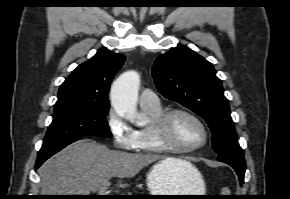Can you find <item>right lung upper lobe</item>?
I'll return each mask as SVG.
<instances>
[{"label": "right lung upper lobe", "mask_w": 290, "mask_h": 199, "mask_svg": "<svg viewBox=\"0 0 290 199\" xmlns=\"http://www.w3.org/2000/svg\"><path fill=\"white\" fill-rule=\"evenodd\" d=\"M124 61L123 55L100 49L62 83L54 108L72 104H109L110 83Z\"/></svg>", "instance_id": "1"}]
</instances>
